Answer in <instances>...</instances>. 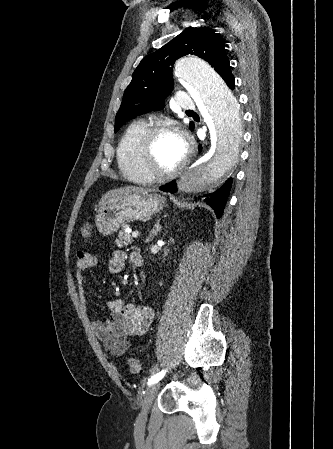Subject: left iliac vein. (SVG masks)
<instances>
[{"label": "left iliac vein", "instance_id": "obj_1", "mask_svg": "<svg viewBox=\"0 0 333 449\" xmlns=\"http://www.w3.org/2000/svg\"><path fill=\"white\" fill-rule=\"evenodd\" d=\"M159 388L160 383H154L149 388H147L142 402V411L140 413V419L143 420L146 419Z\"/></svg>", "mask_w": 333, "mask_h": 449}]
</instances>
